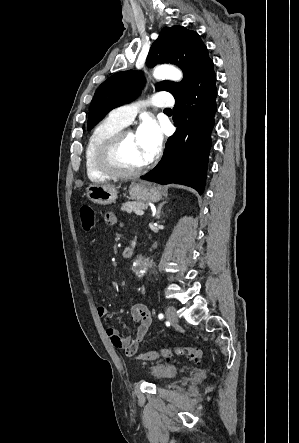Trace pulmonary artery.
Masks as SVG:
<instances>
[{
  "label": "pulmonary artery",
  "mask_w": 299,
  "mask_h": 443,
  "mask_svg": "<svg viewBox=\"0 0 299 443\" xmlns=\"http://www.w3.org/2000/svg\"><path fill=\"white\" fill-rule=\"evenodd\" d=\"M174 103L173 95L167 92H159L152 95L149 99L148 104L160 107L168 108ZM144 104L140 102L132 103L129 105L121 106L114 109L110 116L125 126L130 124L137 113L143 108Z\"/></svg>",
  "instance_id": "pulmonary-artery-1"
}]
</instances>
